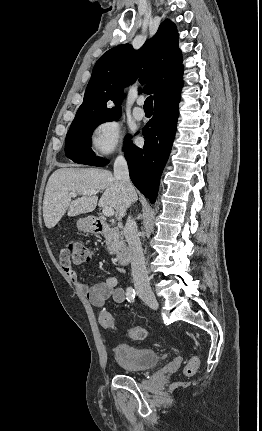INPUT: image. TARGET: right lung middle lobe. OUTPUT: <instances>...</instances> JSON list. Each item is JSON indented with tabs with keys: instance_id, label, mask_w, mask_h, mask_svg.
Here are the masks:
<instances>
[{
	"instance_id": "dd1d6c3e",
	"label": "right lung middle lobe",
	"mask_w": 262,
	"mask_h": 431,
	"mask_svg": "<svg viewBox=\"0 0 262 431\" xmlns=\"http://www.w3.org/2000/svg\"><path fill=\"white\" fill-rule=\"evenodd\" d=\"M120 116L111 118L75 119L66 135L65 155L79 164L104 166L108 161L93 153L91 149V135L96 126L106 121L117 120ZM130 136L126 137V143Z\"/></svg>"
}]
</instances>
